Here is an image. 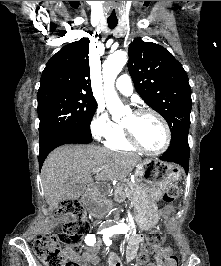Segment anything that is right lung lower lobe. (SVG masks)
I'll list each match as a JSON object with an SVG mask.
<instances>
[{
	"label": "right lung lower lobe",
	"instance_id": "obj_1",
	"mask_svg": "<svg viewBox=\"0 0 221 266\" xmlns=\"http://www.w3.org/2000/svg\"><path fill=\"white\" fill-rule=\"evenodd\" d=\"M92 142V138H86L79 134L67 133L61 134L52 140L40 145L39 150V168L41 169L42 164L47 157V155L56 147L64 145V144H72V143H79V144H88Z\"/></svg>",
	"mask_w": 221,
	"mask_h": 266
}]
</instances>
